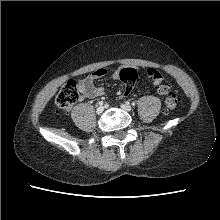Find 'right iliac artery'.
<instances>
[{
	"label": "right iliac artery",
	"instance_id": "right-iliac-artery-1",
	"mask_svg": "<svg viewBox=\"0 0 220 220\" xmlns=\"http://www.w3.org/2000/svg\"><path fill=\"white\" fill-rule=\"evenodd\" d=\"M98 104H99L100 106H102V105H103V101H99Z\"/></svg>",
	"mask_w": 220,
	"mask_h": 220
}]
</instances>
